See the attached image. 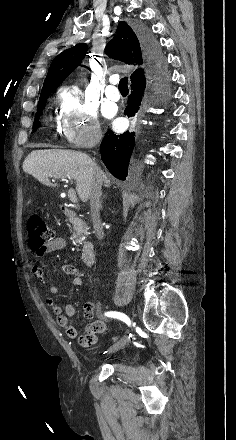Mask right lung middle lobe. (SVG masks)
Listing matches in <instances>:
<instances>
[{
    "label": "right lung middle lobe",
    "mask_w": 236,
    "mask_h": 440,
    "mask_svg": "<svg viewBox=\"0 0 236 440\" xmlns=\"http://www.w3.org/2000/svg\"><path fill=\"white\" fill-rule=\"evenodd\" d=\"M157 92H161L163 94H167V85H165L164 87L159 89ZM48 95H49V93L47 95H45L44 97L39 99V104H38V109H37V116H36V118L34 120V124H33V131L37 130L39 128V126H40V122L38 121L39 120V116H40V114H42V111H43V109L45 107V100L48 98Z\"/></svg>",
    "instance_id": "right-lung-middle-lobe-1"
}]
</instances>
